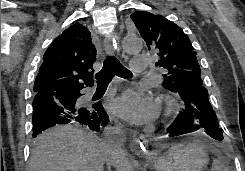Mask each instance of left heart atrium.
I'll use <instances>...</instances> for the list:
<instances>
[{
	"instance_id": "39dd6f15",
	"label": "left heart atrium",
	"mask_w": 245,
	"mask_h": 171,
	"mask_svg": "<svg viewBox=\"0 0 245 171\" xmlns=\"http://www.w3.org/2000/svg\"><path fill=\"white\" fill-rule=\"evenodd\" d=\"M112 111L135 124L154 120L159 114L158 101L144 89H128L111 103Z\"/></svg>"
}]
</instances>
